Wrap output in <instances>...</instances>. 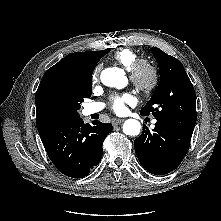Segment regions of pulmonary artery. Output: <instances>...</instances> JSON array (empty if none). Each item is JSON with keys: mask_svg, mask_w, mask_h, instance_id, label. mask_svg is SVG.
<instances>
[{"mask_svg": "<svg viewBox=\"0 0 221 221\" xmlns=\"http://www.w3.org/2000/svg\"><path fill=\"white\" fill-rule=\"evenodd\" d=\"M103 107L104 105L102 103H91L85 108V111H86V114L90 115V114H94V113L101 111Z\"/></svg>", "mask_w": 221, "mask_h": 221, "instance_id": "pulmonary-artery-1", "label": "pulmonary artery"}]
</instances>
